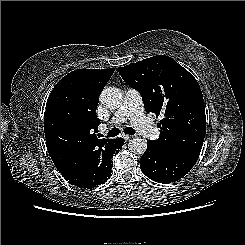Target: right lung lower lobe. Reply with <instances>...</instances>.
I'll return each instance as SVG.
<instances>
[{
	"label": "right lung lower lobe",
	"mask_w": 245,
	"mask_h": 245,
	"mask_svg": "<svg viewBox=\"0 0 245 245\" xmlns=\"http://www.w3.org/2000/svg\"><path fill=\"white\" fill-rule=\"evenodd\" d=\"M123 144V138L109 139L89 150L77 164L68 161L53 162L70 184L87 189L97 187L109 179L113 155L119 152Z\"/></svg>",
	"instance_id": "1"
}]
</instances>
